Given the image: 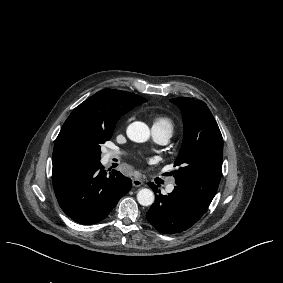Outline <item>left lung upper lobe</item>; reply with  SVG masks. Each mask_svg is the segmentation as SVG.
I'll return each mask as SVG.
<instances>
[{
	"mask_svg": "<svg viewBox=\"0 0 283 283\" xmlns=\"http://www.w3.org/2000/svg\"><path fill=\"white\" fill-rule=\"evenodd\" d=\"M182 111L184 138L175 160L176 187L210 204L222 173L223 139L219 127L201 100H170Z\"/></svg>",
	"mask_w": 283,
	"mask_h": 283,
	"instance_id": "left-lung-upper-lobe-1",
	"label": "left lung upper lobe"
}]
</instances>
